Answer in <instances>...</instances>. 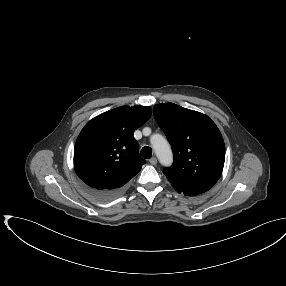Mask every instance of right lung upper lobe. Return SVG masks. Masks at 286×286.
<instances>
[{
    "mask_svg": "<svg viewBox=\"0 0 286 286\" xmlns=\"http://www.w3.org/2000/svg\"><path fill=\"white\" fill-rule=\"evenodd\" d=\"M152 114L149 106H122L90 120L74 149V168L87 187L122 191L146 163L133 134Z\"/></svg>",
    "mask_w": 286,
    "mask_h": 286,
    "instance_id": "obj_1",
    "label": "right lung upper lobe"
}]
</instances>
